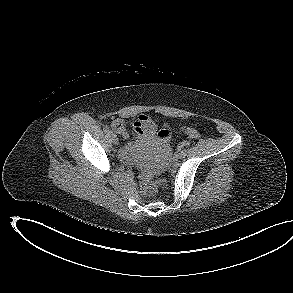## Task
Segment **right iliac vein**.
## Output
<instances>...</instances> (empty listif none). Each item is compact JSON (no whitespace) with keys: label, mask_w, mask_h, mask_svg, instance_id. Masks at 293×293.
Returning <instances> with one entry per match:
<instances>
[{"label":"right iliac vein","mask_w":293,"mask_h":293,"mask_svg":"<svg viewBox=\"0 0 293 293\" xmlns=\"http://www.w3.org/2000/svg\"><path fill=\"white\" fill-rule=\"evenodd\" d=\"M110 137H111L112 142L115 145H117L119 143V140H118L117 136L114 133H110Z\"/></svg>","instance_id":"obj_1"}]
</instances>
